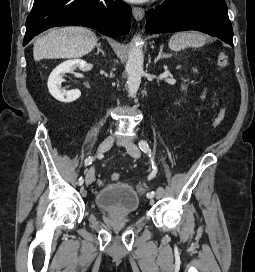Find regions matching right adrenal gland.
Segmentation results:
<instances>
[{"mask_svg":"<svg viewBox=\"0 0 255 272\" xmlns=\"http://www.w3.org/2000/svg\"><path fill=\"white\" fill-rule=\"evenodd\" d=\"M96 47H97V54L102 53V55L104 56V52H103V50L101 49V43H98V44L96 45Z\"/></svg>","mask_w":255,"mask_h":272,"instance_id":"obj_1","label":"right adrenal gland"}]
</instances>
